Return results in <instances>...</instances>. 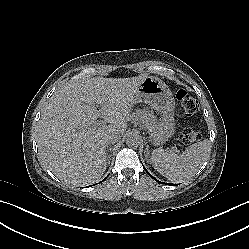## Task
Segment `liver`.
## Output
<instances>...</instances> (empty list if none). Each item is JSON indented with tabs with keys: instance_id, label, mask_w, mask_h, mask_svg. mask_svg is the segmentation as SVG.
Segmentation results:
<instances>
[{
	"instance_id": "obj_1",
	"label": "liver",
	"mask_w": 249,
	"mask_h": 249,
	"mask_svg": "<svg viewBox=\"0 0 249 249\" xmlns=\"http://www.w3.org/2000/svg\"><path fill=\"white\" fill-rule=\"evenodd\" d=\"M144 79L78 81L57 92L38 124L41 160L55 172L74 174L79 183L98 181L107 167L105 137L123 135Z\"/></svg>"
}]
</instances>
